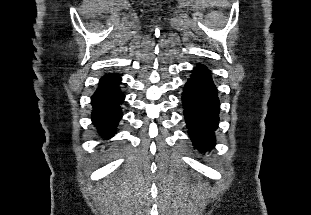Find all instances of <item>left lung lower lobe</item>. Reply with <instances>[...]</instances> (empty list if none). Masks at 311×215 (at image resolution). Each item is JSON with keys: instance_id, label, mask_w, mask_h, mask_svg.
<instances>
[{"instance_id": "1", "label": "left lung lower lobe", "mask_w": 311, "mask_h": 215, "mask_svg": "<svg viewBox=\"0 0 311 215\" xmlns=\"http://www.w3.org/2000/svg\"><path fill=\"white\" fill-rule=\"evenodd\" d=\"M184 116L193 145L202 151L215 144L219 99L209 70L198 65L185 84L182 94Z\"/></svg>"}]
</instances>
